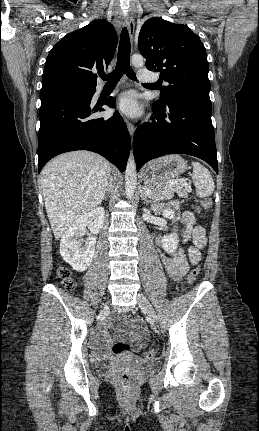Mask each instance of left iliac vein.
<instances>
[{
	"label": "left iliac vein",
	"mask_w": 259,
	"mask_h": 431,
	"mask_svg": "<svg viewBox=\"0 0 259 431\" xmlns=\"http://www.w3.org/2000/svg\"><path fill=\"white\" fill-rule=\"evenodd\" d=\"M137 301H138L140 308L143 309L144 311H146L150 320L152 322H156L157 316H156L155 310H154L153 306L151 305V303L149 302V300L143 294L138 293Z\"/></svg>",
	"instance_id": "1"
}]
</instances>
